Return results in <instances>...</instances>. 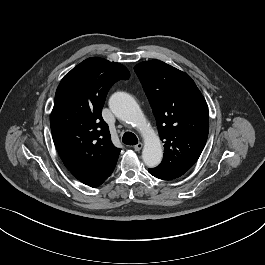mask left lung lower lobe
I'll return each mask as SVG.
<instances>
[{
	"instance_id": "0a47b994",
	"label": "left lung lower lobe",
	"mask_w": 265,
	"mask_h": 265,
	"mask_svg": "<svg viewBox=\"0 0 265 265\" xmlns=\"http://www.w3.org/2000/svg\"><path fill=\"white\" fill-rule=\"evenodd\" d=\"M148 172H149L151 175H153L154 177H156V178L163 179V178H161L160 176H158V175L156 174V172H155L153 169H148Z\"/></svg>"
}]
</instances>
